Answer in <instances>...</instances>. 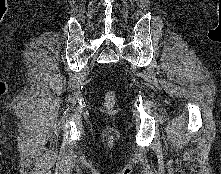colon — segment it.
Wrapping results in <instances>:
<instances>
[{
  "label": "colon",
  "instance_id": "5ec220e1",
  "mask_svg": "<svg viewBox=\"0 0 221 174\" xmlns=\"http://www.w3.org/2000/svg\"><path fill=\"white\" fill-rule=\"evenodd\" d=\"M105 102H106V106L107 107H112L115 103V95L112 91H109L107 94H106V97H105Z\"/></svg>",
  "mask_w": 221,
  "mask_h": 174
}]
</instances>
